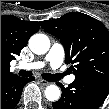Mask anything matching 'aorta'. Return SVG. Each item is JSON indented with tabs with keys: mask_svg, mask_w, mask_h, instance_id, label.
Returning <instances> with one entry per match:
<instances>
[{
	"mask_svg": "<svg viewBox=\"0 0 109 109\" xmlns=\"http://www.w3.org/2000/svg\"><path fill=\"white\" fill-rule=\"evenodd\" d=\"M29 48L37 55H42L48 52L50 48V40L45 34H34L29 39ZM61 96L60 88L57 85H49L45 89V97L49 101H57Z\"/></svg>",
	"mask_w": 109,
	"mask_h": 109,
	"instance_id": "aorta-1",
	"label": "aorta"
}]
</instances>
